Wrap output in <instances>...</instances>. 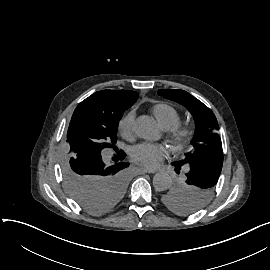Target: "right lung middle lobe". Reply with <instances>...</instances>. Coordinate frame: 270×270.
I'll use <instances>...</instances> for the list:
<instances>
[{"mask_svg":"<svg viewBox=\"0 0 270 270\" xmlns=\"http://www.w3.org/2000/svg\"><path fill=\"white\" fill-rule=\"evenodd\" d=\"M120 118L103 111L90 96L74 110L60 146L63 182L87 213H105L125 196V174H117L120 169L105 167L101 157L103 149H111L115 152L114 165H119L126 156L115 146Z\"/></svg>","mask_w":270,"mask_h":270,"instance_id":"dd1d6c3e","label":"right lung middle lobe"}]
</instances>
